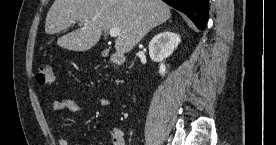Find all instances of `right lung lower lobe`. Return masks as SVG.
<instances>
[{
    "instance_id": "1",
    "label": "right lung lower lobe",
    "mask_w": 276,
    "mask_h": 145,
    "mask_svg": "<svg viewBox=\"0 0 276 145\" xmlns=\"http://www.w3.org/2000/svg\"><path fill=\"white\" fill-rule=\"evenodd\" d=\"M173 8L184 12L200 30H204L209 9V0H162Z\"/></svg>"
}]
</instances>
